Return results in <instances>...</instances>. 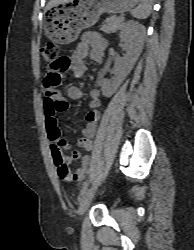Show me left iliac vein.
I'll use <instances>...</instances> for the list:
<instances>
[{
	"label": "left iliac vein",
	"instance_id": "4c4485c4",
	"mask_svg": "<svg viewBox=\"0 0 194 250\" xmlns=\"http://www.w3.org/2000/svg\"><path fill=\"white\" fill-rule=\"evenodd\" d=\"M99 183H100V177L96 179V181L91 185V187L83 195V197L81 199L80 207L78 210L79 216H83L86 213V211L90 205V202L92 201V199L97 191Z\"/></svg>",
	"mask_w": 194,
	"mask_h": 250
}]
</instances>
